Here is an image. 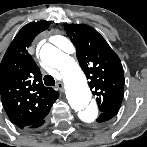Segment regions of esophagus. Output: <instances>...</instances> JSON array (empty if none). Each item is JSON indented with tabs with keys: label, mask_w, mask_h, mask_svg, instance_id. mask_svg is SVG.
Segmentation results:
<instances>
[{
	"label": "esophagus",
	"mask_w": 147,
	"mask_h": 147,
	"mask_svg": "<svg viewBox=\"0 0 147 147\" xmlns=\"http://www.w3.org/2000/svg\"><path fill=\"white\" fill-rule=\"evenodd\" d=\"M56 87H57V89H59L61 92L64 91V85H63V83L58 82V83L56 84Z\"/></svg>",
	"instance_id": "1"
}]
</instances>
